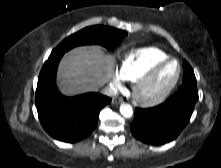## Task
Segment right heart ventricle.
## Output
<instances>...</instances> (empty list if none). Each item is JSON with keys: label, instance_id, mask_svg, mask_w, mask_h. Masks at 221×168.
Returning <instances> with one entry per match:
<instances>
[{"label": "right heart ventricle", "instance_id": "obj_1", "mask_svg": "<svg viewBox=\"0 0 221 168\" xmlns=\"http://www.w3.org/2000/svg\"><path fill=\"white\" fill-rule=\"evenodd\" d=\"M166 58H169L168 54L159 48H140L125 55L119 72L124 79L136 82L151 67Z\"/></svg>", "mask_w": 221, "mask_h": 168}]
</instances>
